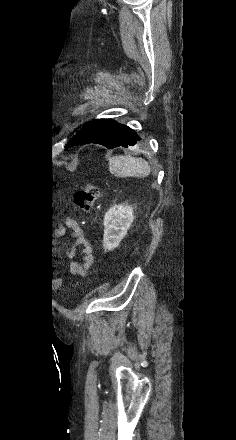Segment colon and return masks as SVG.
Returning a JSON list of instances; mask_svg holds the SVG:
<instances>
[{
  "label": "colon",
  "instance_id": "obj_1",
  "mask_svg": "<svg viewBox=\"0 0 236 440\" xmlns=\"http://www.w3.org/2000/svg\"><path fill=\"white\" fill-rule=\"evenodd\" d=\"M99 197V188L92 183L81 185L74 194L75 205L84 211H89ZM47 285H60V276H47Z\"/></svg>",
  "mask_w": 236,
  "mask_h": 440
}]
</instances>
